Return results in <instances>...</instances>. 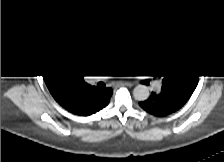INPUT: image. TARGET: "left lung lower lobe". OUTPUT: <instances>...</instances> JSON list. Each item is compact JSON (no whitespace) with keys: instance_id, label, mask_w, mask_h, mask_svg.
Instances as JSON below:
<instances>
[{"instance_id":"0a47b994","label":"left lung lower lobe","mask_w":224,"mask_h":162,"mask_svg":"<svg viewBox=\"0 0 224 162\" xmlns=\"http://www.w3.org/2000/svg\"><path fill=\"white\" fill-rule=\"evenodd\" d=\"M185 91L162 88L161 92L151 93V96L139 105L155 116H166L180 109L190 98Z\"/></svg>"}]
</instances>
